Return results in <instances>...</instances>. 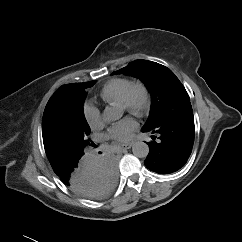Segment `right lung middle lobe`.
<instances>
[{"instance_id":"1","label":"right lung middle lobe","mask_w":242,"mask_h":242,"mask_svg":"<svg viewBox=\"0 0 242 242\" xmlns=\"http://www.w3.org/2000/svg\"><path fill=\"white\" fill-rule=\"evenodd\" d=\"M95 81L85 82L80 92L71 100L46 108L42 120L43 143L51 165H58L84 157L90 127L83 113L87 88Z\"/></svg>"}]
</instances>
